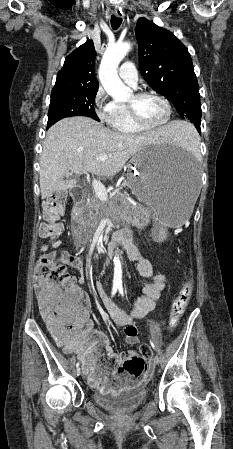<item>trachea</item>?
I'll return each mask as SVG.
<instances>
[{
  "instance_id": "1",
  "label": "trachea",
  "mask_w": 233,
  "mask_h": 449,
  "mask_svg": "<svg viewBox=\"0 0 233 449\" xmlns=\"http://www.w3.org/2000/svg\"><path fill=\"white\" fill-rule=\"evenodd\" d=\"M122 23V19L114 15L111 16V26L114 30H117Z\"/></svg>"
}]
</instances>
